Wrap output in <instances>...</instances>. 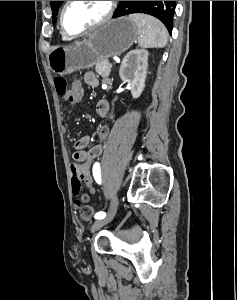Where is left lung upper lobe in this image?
<instances>
[{"instance_id":"5c2ea615","label":"left lung upper lobe","mask_w":237,"mask_h":300,"mask_svg":"<svg viewBox=\"0 0 237 300\" xmlns=\"http://www.w3.org/2000/svg\"><path fill=\"white\" fill-rule=\"evenodd\" d=\"M63 1H51L52 18L57 15L58 8ZM175 1L164 5V1H119V7L114 17H120L131 13H146L161 20L172 33ZM55 20L53 21V23Z\"/></svg>"}]
</instances>
